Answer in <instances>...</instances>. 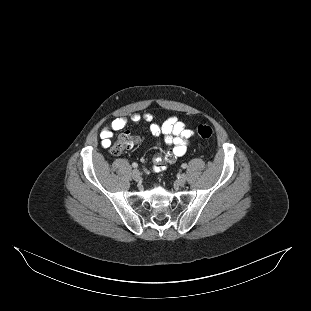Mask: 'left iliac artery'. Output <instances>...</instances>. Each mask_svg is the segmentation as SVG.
<instances>
[{
    "label": "left iliac artery",
    "instance_id": "left-iliac-artery-1",
    "mask_svg": "<svg viewBox=\"0 0 311 311\" xmlns=\"http://www.w3.org/2000/svg\"><path fill=\"white\" fill-rule=\"evenodd\" d=\"M181 167H182L183 169H185V168L187 167V164L183 163V164L181 165Z\"/></svg>",
    "mask_w": 311,
    "mask_h": 311
}]
</instances>
